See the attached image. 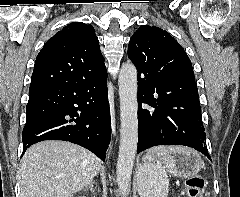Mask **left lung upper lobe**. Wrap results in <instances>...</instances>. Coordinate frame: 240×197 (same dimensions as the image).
Instances as JSON below:
<instances>
[{"label": "left lung upper lobe", "instance_id": "5c2ea615", "mask_svg": "<svg viewBox=\"0 0 240 197\" xmlns=\"http://www.w3.org/2000/svg\"><path fill=\"white\" fill-rule=\"evenodd\" d=\"M128 57L138 72L154 78L156 86L168 88L195 84L189 57L167 32L156 26L142 25L132 35Z\"/></svg>", "mask_w": 240, "mask_h": 197}]
</instances>
